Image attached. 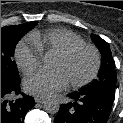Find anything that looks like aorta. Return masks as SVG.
<instances>
[{"label":"aorta","instance_id":"762f6f07","mask_svg":"<svg viewBox=\"0 0 123 123\" xmlns=\"http://www.w3.org/2000/svg\"><path fill=\"white\" fill-rule=\"evenodd\" d=\"M48 61V56L44 57V62ZM60 108V104L57 100L49 99L44 103V109L49 114H56L58 113Z\"/></svg>","mask_w":123,"mask_h":123}]
</instances>
